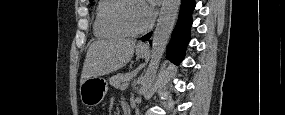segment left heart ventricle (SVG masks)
I'll return each instance as SVG.
<instances>
[{
	"label": "left heart ventricle",
	"mask_w": 285,
	"mask_h": 115,
	"mask_svg": "<svg viewBox=\"0 0 285 115\" xmlns=\"http://www.w3.org/2000/svg\"><path fill=\"white\" fill-rule=\"evenodd\" d=\"M123 19L125 23L133 30H139L145 27L140 2H132L127 5L123 11Z\"/></svg>",
	"instance_id": "left-heart-ventricle-1"
}]
</instances>
